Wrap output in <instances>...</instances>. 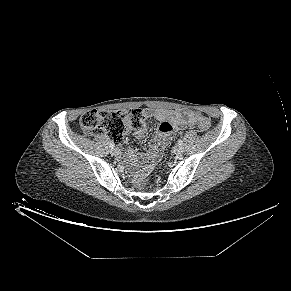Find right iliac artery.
Listing matches in <instances>:
<instances>
[{
    "instance_id": "obj_1",
    "label": "right iliac artery",
    "mask_w": 291,
    "mask_h": 291,
    "mask_svg": "<svg viewBox=\"0 0 291 291\" xmlns=\"http://www.w3.org/2000/svg\"><path fill=\"white\" fill-rule=\"evenodd\" d=\"M114 146H115V144H114L113 142H110L109 147H110L111 149H113Z\"/></svg>"
}]
</instances>
